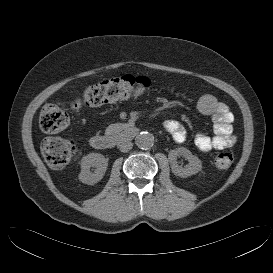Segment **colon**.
Listing matches in <instances>:
<instances>
[{
	"label": "colon",
	"mask_w": 273,
	"mask_h": 273,
	"mask_svg": "<svg viewBox=\"0 0 273 273\" xmlns=\"http://www.w3.org/2000/svg\"><path fill=\"white\" fill-rule=\"evenodd\" d=\"M150 80L143 76H122L108 78L88 86L82 94L74 99L69 108L79 110L82 106H101L142 92L150 86ZM39 123L46 133H58L69 124L68 107L64 103H51L43 107ZM42 152L47 164L51 168L66 166L76 155L77 146L71 139L50 137L43 141ZM234 162L231 151H223L215 157V166L228 169Z\"/></svg>",
	"instance_id": "colon-1"
}]
</instances>
